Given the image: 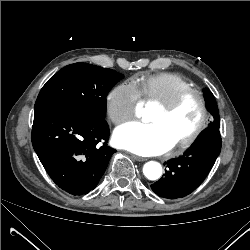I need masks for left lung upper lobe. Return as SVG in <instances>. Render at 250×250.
Here are the masks:
<instances>
[{"label": "left lung upper lobe", "instance_id": "obj_1", "mask_svg": "<svg viewBox=\"0 0 250 250\" xmlns=\"http://www.w3.org/2000/svg\"><path fill=\"white\" fill-rule=\"evenodd\" d=\"M203 92H204V98L206 102V108L214 117L213 122L209 124L208 128L219 129L220 121H219L218 108H217L215 98L208 89H204Z\"/></svg>", "mask_w": 250, "mask_h": 250}]
</instances>
